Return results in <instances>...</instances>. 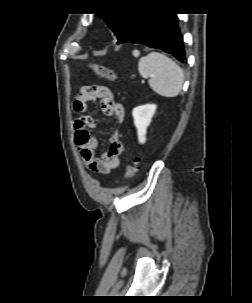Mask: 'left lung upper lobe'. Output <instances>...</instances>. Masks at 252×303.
<instances>
[{"mask_svg": "<svg viewBox=\"0 0 252 303\" xmlns=\"http://www.w3.org/2000/svg\"><path fill=\"white\" fill-rule=\"evenodd\" d=\"M146 13H111L100 15L117 36L118 41L130 33Z\"/></svg>", "mask_w": 252, "mask_h": 303, "instance_id": "obj_1", "label": "left lung upper lobe"}]
</instances>
